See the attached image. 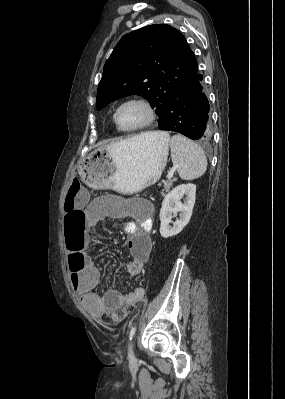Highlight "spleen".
<instances>
[{
	"label": "spleen",
	"mask_w": 285,
	"mask_h": 399,
	"mask_svg": "<svg viewBox=\"0 0 285 399\" xmlns=\"http://www.w3.org/2000/svg\"><path fill=\"white\" fill-rule=\"evenodd\" d=\"M170 149L173 165L181 179L194 180L205 173L207 158L198 144L177 134L170 140Z\"/></svg>",
	"instance_id": "1"
}]
</instances>
